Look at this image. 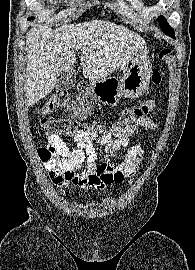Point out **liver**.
<instances>
[{"instance_id": "obj_1", "label": "liver", "mask_w": 195, "mask_h": 270, "mask_svg": "<svg viewBox=\"0 0 195 270\" xmlns=\"http://www.w3.org/2000/svg\"><path fill=\"white\" fill-rule=\"evenodd\" d=\"M144 39L122 25L93 20L52 30L32 27L26 34V99L32 106L52 92L58 73L73 67L81 51L83 75L103 80L145 49Z\"/></svg>"}]
</instances>
